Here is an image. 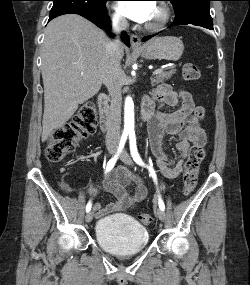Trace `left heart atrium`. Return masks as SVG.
<instances>
[{
    "mask_svg": "<svg viewBox=\"0 0 250 285\" xmlns=\"http://www.w3.org/2000/svg\"><path fill=\"white\" fill-rule=\"evenodd\" d=\"M154 7L155 4L151 1H123L119 3L120 11L138 23L148 22Z\"/></svg>",
    "mask_w": 250,
    "mask_h": 285,
    "instance_id": "obj_1",
    "label": "left heart atrium"
}]
</instances>
